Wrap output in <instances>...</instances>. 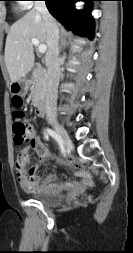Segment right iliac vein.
Segmentation results:
<instances>
[{"label":"right iliac vein","instance_id":"1","mask_svg":"<svg viewBox=\"0 0 133 253\" xmlns=\"http://www.w3.org/2000/svg\"><path fill=\"white\" fill-rule=\"evenodd\" d=\"M50 123L55 129V131L58 133V135L61 137L64 146L70 147L72 144L70 137L68 136L67 132L62 127V125L57 120H51Z\"/></svg>","mask_w":133,"mask_h":253}]
</instances>
